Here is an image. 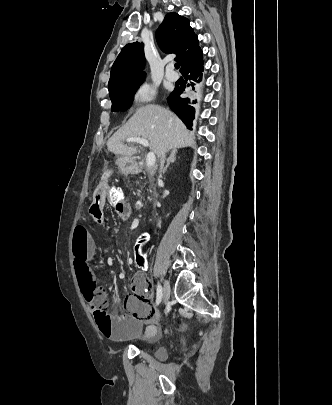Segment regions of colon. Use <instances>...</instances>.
<instances>
[{
  "label": "colon",
  "mask_w": 332,
  "mask_h": 405,
  "mask_svg": "<svg viewBox=\"0 0 332 405\" xmlns=\"http://www.w3.org/2000/svg\"><path fill=\"white\" fill-rule=\"evenodd\" d=\"M109 198L106 199L107 206L112 208L114 212H121L123 209H117V204L121 203L124 206V203L127 202V195L124 194V186L123 184H112L109 186ZM138 249H143V245H147L149 243V238L147 236H140L138 238ZM133 268L134 270H139L140 273L146 272V260L145 258H134L133 260ZM84 293V292H83ZM97 294V301H101L103 303V308L101 310H96L94 308V303L92 302L93 308L95 311H108V299L106 295L99 291L95 292Z\"/></svg>",
  "instance_id": "1"
}]
</instances>
